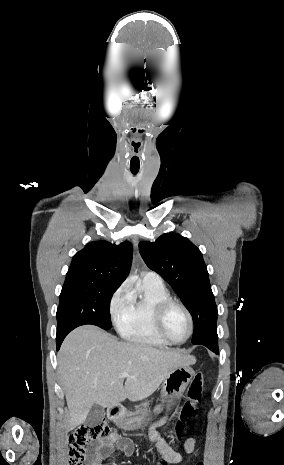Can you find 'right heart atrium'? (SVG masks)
Returning <instances> with one entry per match:
<instances>
[{"mask_svg":"<svg viewBox=\"0 0 284 465\" xmlns=\"http://www.w3.org/2000/svg\"><path fill=\"white\" fill-rule=\"evenodd\" d=\"M133 297L127 283L121 284L111 295L108 302V311L112 318H116L121 310L131 301Z\"/></svg>","mask_w":284,"mask_h":465,"instance_id":"1","label":"right heart atrium"}]
</instances>
